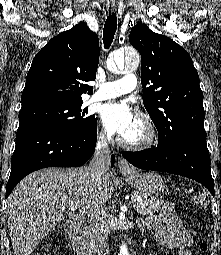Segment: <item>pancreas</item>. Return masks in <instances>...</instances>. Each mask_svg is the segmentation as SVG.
Instances as JSON below:
<instances>
[{
  "mask_svg": "<svg viewBox=\"0 0 221 255\" xmlns=\"http://www.w3.org/2000/svg\"><path fill=\"white\" fill-rule=\"evenodd\" d=\"M133 200H139L135 203L136 211L141 215H151L155 212H158L163 204V200L159 199H149L138 191H135L131 194Z\"/></svg>",
  "mask_w": 221,
  "mask_h": 255,
  "instance_id": "obj_1",
  "label": "pancreas"
}]
</instances>
